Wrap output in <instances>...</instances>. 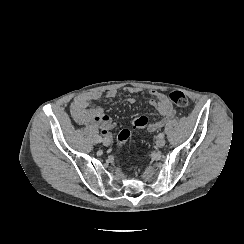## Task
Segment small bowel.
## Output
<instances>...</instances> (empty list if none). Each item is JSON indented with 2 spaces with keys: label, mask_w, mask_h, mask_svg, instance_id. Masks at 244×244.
Wrapping results in <instances>:
<instances>
[{
  "label": "small bowel",
  "mask_w": 244,
  "mask_h": 244,
  "mask_svg": "<svg viewBox=\"0 0 244 244\" xmlns=\"http://www.w3.org/2000/svg\"><path fill=\"white\" fill-rule=\"evenodd\" d=\"M130 93H135L138 91L136 88H128ZM151 99L149 101L150 105L155 107L161 115L160 119H150V125L146 128L149 132H155L162 128L168 121L173 119L177 111L174 106L169 101L167 95L157 89H150L148 91ZM117 95V90L112 89L105 93L95 92L89 95H83L77 97L71 104L70 112L81 113L87 119V125L99 126L100 132L105 135L109 134L115 127V123L112 121L110 116L102 111L99 106L93 105L92 101L105 98H113ZM134 98H129V103H135ZM140 118V117H139Z\"/></svg>",
  "instance_id": "small-bowel-1"
}]
</instances>
